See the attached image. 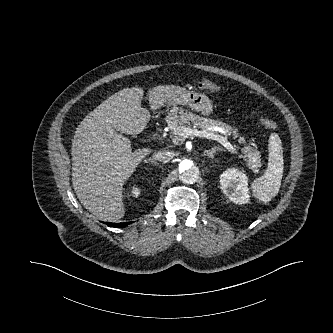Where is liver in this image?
<instances>
[{"mask_svg": "<svg viewBox=\"0 0 333 333\" xmlns=\"http://www.w3.org/2000/svg\"><path fill=\"white\" fill-rule=\"evenodd\" d=\"M186 91L159 85L149 91L152 111ZM144 90L124 88L103 101L78 125L72 143V184L81 204L95 216L118 221L125 214L123 185L151 150L132 152L122 133H141L150 120L141 107Z\"/></svg>", "mask_w": 333, "mask_h": 333, "instance_id": "obj_1", "label": "liver"}]
</instances>
